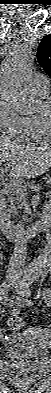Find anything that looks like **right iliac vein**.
Masks as SVG:
<instances>
[{
  "label": "right iliac vein",
  "mask_w": 51,
  "mask_h": 393,
  "mask_svg": "<svg viewBox=\"0 0 51 393\" xmlns=\"http://www.w3.org/2000/svg\"><path fill=\"white\" fill-rule=\"evenodd\" d=\"M7 279L13 281V279H14V274L9 273V274L7 275Z\"/></svg>",
  "instance_id": "right-iliac-vein-1"
}]
</instances>
